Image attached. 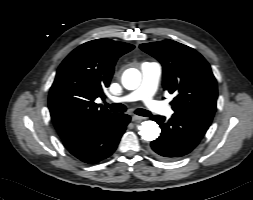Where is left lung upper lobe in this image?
<instances>
[{"instance_id":"obj_1","label":"left lung upper lobe","mask_w":253,"mask_h":200,"mask_svg":"<svg viewBox=\"0 0 253 200\" xmlns=\"http://www.w3.org/2000/svg\"><path fill=\"white\" fill-rule=\"evenodd\" d=\"M140 48L163 66V87L175 98L174 114L210 125L216 110L217 84L207 61L194 49L164 40L141 44Z\"/></svg>"}]
</instances>
